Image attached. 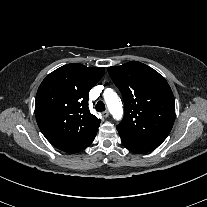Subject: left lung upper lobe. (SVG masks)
Wrapping results in <instances>:
<instances>
[{"label": "left lung upper lobe", "mask_w": 207, "mask_h": 207, "mask_svg": "<svg viewBox=\"0 0 207 207\" xmlns=\"http://www.w3.org/2000/svg\"><path fill=\"white\" fill-rule=\"evenodd\" d=\"M108 72L125 105L124 119L116 127L119 134L160 145L170 133L175 118L174 97L167 81L137 61L108 67Z\"/></svg>", "instance_id": "obj_1"}]
</instances>
